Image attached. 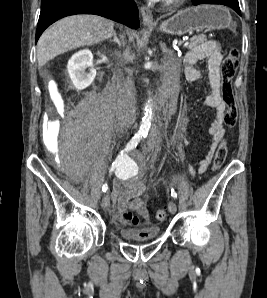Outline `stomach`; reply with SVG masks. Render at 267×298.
Masks as SVG:
<instances>
[{
  "instance_id": "stomach-1",
  "label": "stomach",
  "mask_w": 267,
  "mask_h": 298,
  "mask_svg": "<svg viewBox=\"0 0 267 298\" xmlns=\"http://www.w3.org/2000/svg\"><path fill=\"white\" fill-rule=\"evenodd\" d=\"M232 17L229 10L221 5H200L178 11L164 21L159 31L170 35H184L204 29L221 30L230 27Z\"/></svg>"
}]
</instances>
